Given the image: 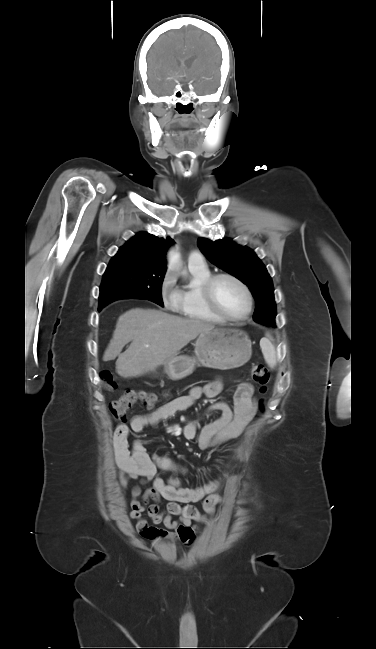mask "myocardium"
<instances>
[{"label":"myocardium","mask_w":376,"mask_h":649,"mask_svg":"<svg viewBox=\"0 0 376 649\" xmlns=\"http://www.w3.org/2000/svg\"><path fill=\"white\" fill-rule=\"evenodd\" d=\"M230 279L237 283L241 289L244 291L246 299H247V309L245 313L240 316V317H231L228 314H226L220 305L218 304L216 297H215V286L217 282L220 279ZM202 294L204 301L208 308L214 312L217 316H219L221 319L228 321V322H242L245 321L246 319L249 318L252 309H253V295L248 287V285L238 276L229 273V272H222V273H217L211 275L204 283L202 286Z\"/></svg>","instance_id":"myocardium-1"}]
</instances>
